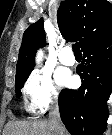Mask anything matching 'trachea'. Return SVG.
Masks as SVG:
<instances>
[{
	"instance_id": "obj_1",
	"label": "trachea",
	"mask_w": 112,
	"mask_h": 135,
	"mask_svg": "<svg viewBox=\"0 0 112 135\" xmlns=\"http://www.w3.org/2000/svg\"><path fill=\"white\" fill-rule=\"evenodd\" d=\"M72 49L75 55H81V51L78 43L73 44Z\"/></svg>"
}]
</instances>
